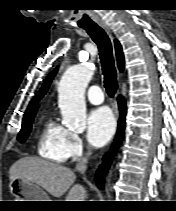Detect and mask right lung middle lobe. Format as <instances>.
<instances>
[{
	"instance_id": "1",
	"label": "right lung middle lobe",
	"mask_w": 176,
	"mask_h": 211,
	"mask_svg": "<svg viewBox=\"0 0 176 211\" xmlns=\"http://www.w3.org/2000/svg\"><path fill=\"white\" fill-rule=\"evenodd\" d=\"M34 116H35V113L24 116L23 122H22V128L17 137V139L20 142L25 141L26 138L28 137L31 131V125H32Z\"/></svg>"
}]
</instances>
